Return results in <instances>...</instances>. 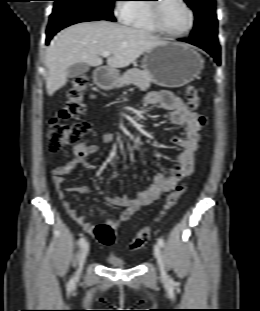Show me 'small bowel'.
I'll return each instance as SVG.
<instances>
[{
  "label": "small bowel",
  "mask_w": 260,
  "mask_h": 311,
  "mask_svg": "<svg viewBox=\"0 0 260 311\" xmlns=\"http://www.w3.org/2000/svg\"><path fill=\"white\" fill-rule=\"evenodd\" d=\"M145 101L148 105L159 106L167 111L170 124L182 127L183 136H174L172 138V142L181 148V152L178 156L177 165L170 174L156 173L153 183L148 188L142 190L137 198L129 199L122 195L106 199L109 204L123 208L118 217L108 221L114 229L118 228L122 222L127 221L141 207L153 203L163 193L172 190L181 178L189 175L192 171L197 152L200 130L198 114L189 110L182 98L175 96L169 91H152L147 94ZM113 140L114 135L111 132H103L100 136L101 144H110ZM99 149V144L78 145L74 148V157L70 161L56 166L52 170V182L63 208L69 217L89 234L94 232L95 225L87 222L85 217L79 214L70 202L66 200V192L68 190L81 193L84 191V188L68 187L65 176L78 165L87 170H93L95 166L88 159L91 155L96 154Z\"/></svg>",
  "instance_id": "1"
}]
</instances>
